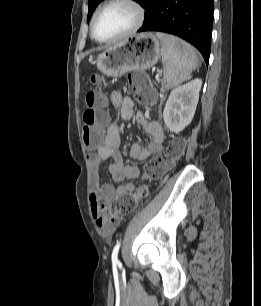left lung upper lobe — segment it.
Returning <instances> with one entry per match:
<instances>
[{"label":"left lung upper lobe","mask_w":261,"mask_h":306,"mask_svg":"<svg viewBox=\"0 0 261 306\" xmlns=\"http://www.w3.org/2000/svg\"><path fill=\"white\" fill-rule=\"evenodd\" d=\"M101 1L103 0H88L89 11L87 16V21L90 20L95 8ZM135 1L138 2L143 8H145L147 3L149 2V0H135Z\"/></svg>","instance_id":"left-lung-upper-lobe-1"}]
</instances>
